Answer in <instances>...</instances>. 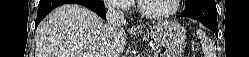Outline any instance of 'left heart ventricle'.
<instances>
[{
	"label": "left heart ventricle",
	"mask_w": 249,
	"mask_h": 57,
	"mask_svg": "<svg viewBox=\"0 0 249 57\" xmlns=\"http://www.w3.org/2000/svg\"><path fill=\"white\" fill-rule=\"evenodd\" d=\"M174 0H143V6L149 13L159 14L170 11Z\"/></svg>",
	"instance_id": "1"
}]
</instances>
